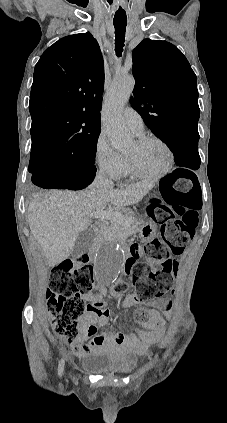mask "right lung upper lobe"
<instances>
[{"label": "right lung upper lobe", "mask_w": 227, "mask_h": 423, "mask_svg": "<svg viewBox=\"0 0 227 423\" xmlns=\"http://www.w3.org/2000/svg\"><path fill=\"white\" fill-rule=\"evenodd\" d=\"M103 90V55L89 32L49 47L35 66L31 87V152L68 148L100 133Z\"/></svg>", "instance_id": "right-lung-upper-lobe-1"}]
</instances>
